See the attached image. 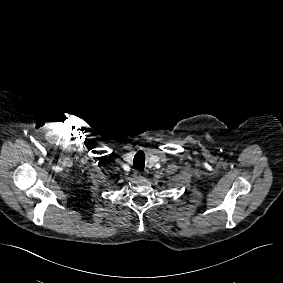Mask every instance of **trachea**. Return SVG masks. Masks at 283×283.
<instances>
[{"mask_svg":"<svg viewBox=\"0 0 283 283\" xmlns=\"http://www.w3.org/2000/svg\"><path fill=\"white\" fill-rule=\"evenodd\" d=\"M145 154L142 151L136 153L133 159V167L137 170H144Z\"/></svg>","mask_w":283,"mask_h":283,"instance_id":"trachea-1","label":"trachea"}]
</instances>
